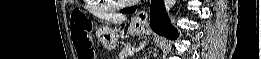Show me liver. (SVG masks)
Here are the masks:
<instances>
[{
  "instance_id": "1",
  "label": "liver",
  "mask_w": 261,
  "mask_h": 59,
  "mask_svg": "<svg viewBox=\"0 0 261 59\" xmlns=\"http://www.w3.org/2000/svg\"><path fill=\"white\" fill-rule=\"evenodd\" d=\"M97 16L101 19L106 20L107 22L111 23H122L126 20V16L122 14H105V13H98Z\"/></svg>"
}]
</instances>
